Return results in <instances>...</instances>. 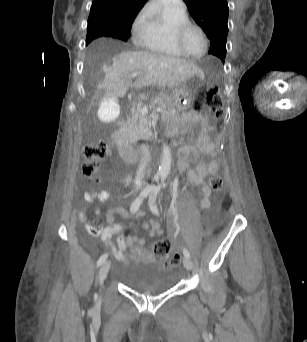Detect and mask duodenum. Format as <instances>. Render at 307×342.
<instances>
[{
  "label": "duodenum",
  "instance_id": "duodenum-1",
  "mask_svg": "<svg viewBox=\"0 0 307 342\" xmlns=\"http://www.w3.org/2000/svg\"><path fill=\"white\" fill-rule=\"evenodd\" d=\"M118 122L119 126L113 134V142L122 158L125 160H137L139 155L128 145L127 137L123 130L128 125L126 117H119Z\"/></svg>",
  "mask_w": 307,
  "mask_h": 342
}]
</instances>
